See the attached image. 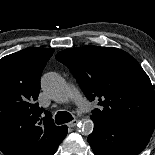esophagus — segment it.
<instances>
[{
    "label": "esophagus",
    "mask_w": 155,
    "mask_h": 155,
    "mask_svg": "<svg viewBox=\"0 0 155 155\" xmlns=\"http://www.w3.org/2000/svg\"><path fill=\"white\" fill-rule=\"evenodd\" d=\"M77 123H78V120L75 119V120H72L71 122H69L67 124V126L73 128V127H75L77 125Z\"/></svg>",
    "instance_id": "esophagus-1"
}]
</instances>
